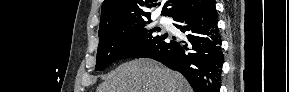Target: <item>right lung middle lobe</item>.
Here are the masks:
<instances>
[{
  "label": "right lung middle lobe",
  "mask_w": 289,
  "mask_h": 92,
  "mask_svg": "<svg viewBox=\"0 0 289 92\" xmlns=\"http://www.w3.org/2000/svg\"><path fill=\"white\" fill-rule=\"evenodd\" d=\"M150 22V18L119 22L99 31L95 70L101 71L118 59L136 57L167 36L157 35L160 29L152 28Z\"/></svg>",
  "instance_id": "dd1d6c3e"
}]
</instances>
